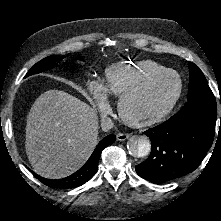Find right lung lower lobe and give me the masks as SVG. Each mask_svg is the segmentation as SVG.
Segmentation results:
<instances>
[{"label":"right lung lower lobe","instance_id":"right-lung-lower-lobe-1","mask_svg":"<svg viewBox=\"0 0 221 221\" xmlns=\"http://www.w3.org/2000/svg\"><path fill=\"white\" fill-rule=\"evenodd\" d=\"M115 135H108L100 141L88 161L72 175L61 179H46L35 172L31 171L33 175L43 184L56 189H72L83 185L90 180L97 171L98 161L102 150L108 145L115 142Z\"/></svg>","mask_w":221,"mask_h":221}]
</instances>
